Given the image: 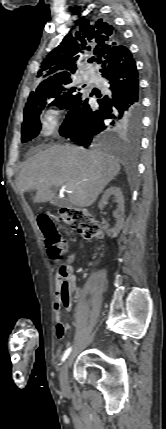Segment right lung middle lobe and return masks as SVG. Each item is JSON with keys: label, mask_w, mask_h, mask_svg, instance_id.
Returning a JSON list of instances; mask_svg holds the SVG:
<instances>
[{"label": "right lung middle lobe", "mask_w": 166, "mask_h": 429, "mask_svg": "<svg viewBox=\"0 0 166 429\" xmlns=\"http://www.w3.org/2000/svg\"><path fill=\"white\" fill-rule=\"evenodd\" d=\"M71 78L48 86H38L31 92L24 109L21 141L28 142L35 138L41 129L40 114L45 105L51 101L62 109H69L81 95L79 88L71 85Z\"/></svg>", "instance_id": "right-lung-middle-lobe-1"}]
</instances>
